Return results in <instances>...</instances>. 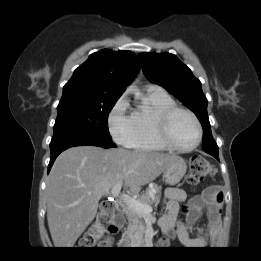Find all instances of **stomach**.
Listing matches in <instances>:
<instances>
[{
  "instance_id": "1",
  "label": "stomach",
  "mask_w": 261,
  "mask_h": 261,
  "mask_svg": "<svg viewBox=\"0 0 261 261\" xmlns=\"http://www.w3.org/2000/svg\"><path fill=\"white\" fill-rule=\"evenodd\" d=\"M187 170L186 162L177 156L163 172V178L168 185H176L183 178Z\"/></svg>"
}]
</instances>
